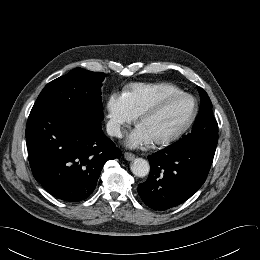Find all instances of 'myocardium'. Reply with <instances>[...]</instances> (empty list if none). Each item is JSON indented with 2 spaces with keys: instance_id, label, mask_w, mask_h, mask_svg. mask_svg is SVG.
<instances>
[{
  "instance_id": "myocardium-1",
  "label": "myocardium",
  "mask_w": 260,
  "mask_h": 260,
  "mask_svg": "<svg viewBox=\"0 0 260 260\" xmlns=\"http://www.w3.org/2000/svg\"><path fill=\"white\" fill-rule=\"evenodd\" d=\"M177 97H185L191 100L192 108L190 110V113L188 114L184 122L176 130L163 137L152 139V142L156 145L170 144L179 139L188 130L198 112L197 100L194 96L187 92L178 91L162 96L139 114V123L141 124L147 117L157 113L165 103Z\"/></svg>"
}]
</instances>
